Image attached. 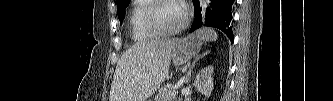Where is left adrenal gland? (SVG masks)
Segmentation results:
<instances>
[{"instance_id":"1","label":"left adrenal gland","mask_w":333,"mask_h":101,"mask_svg":"<svg viewBox=\"0 0 333 101\" xmlns=\"http://www.w3.org/2000/svg\"><path fill=\"white\" fill-rule=\"evenodd\" d=\"M210 52L209 51H206L204 52L202 55H200L199 57H197L195 59V61L192 63V65L189 67V70L187 72V75H186V78H185V84H187L190 80V77H191V73L195 67V65L203 58H205Z\"/></svg>"}]
</instances>
